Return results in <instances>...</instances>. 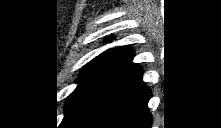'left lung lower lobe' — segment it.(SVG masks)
<instances>
[{"label": "left lung lower lobe", "instance_id": "0a47b994", "mask_svg": "<svg viewBox=\"0 0 221 128\" xmlns=\"http://www.w3.org/2000/svg\"><path fill=\"white\" fill-rule=\"evenodd\" d=\"M137 66L95 103L62 125V128H150L147 103L151 91L142 82Z\"/></svg>", "mask_w": 221, "mask_h": 128}]
</instances>
